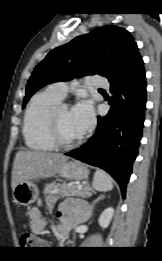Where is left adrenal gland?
I'll return each instance as SVG.
<instances>
[{"mask_svg": "<svg viewBox=\"0 0 162 261\" xmlns=\"http://www.w3.org/2000/svg\"><path fill=\"white\" fill-rule=\"evenodd\" d=\"M103 198H105L104 195H100L97 199H95L92 204H91V207L92 209L94 208L95 204H97L100 200H102Z\"/></svg>", "mask_w": 162, "mask_h": 261, "instance_id": "1", "label": "left adrenal gland"}]
</instances>
